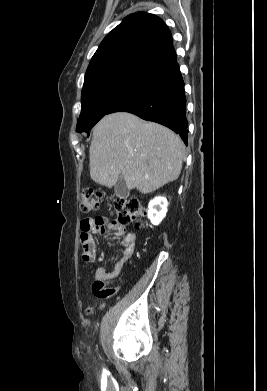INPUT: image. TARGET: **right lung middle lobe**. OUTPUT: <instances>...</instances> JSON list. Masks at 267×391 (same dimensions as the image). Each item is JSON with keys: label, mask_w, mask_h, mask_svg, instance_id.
<instances>
[{"label": "right lung middle lobe", "mask_w": 267, "mask_h": 391, "mask_svg": "<svg viewBox=\"0 0 267 391\" xmlns=\"http://www.w3.org/2000/svg\"><path fill=\"white\" fill-rule=\"evenodd\" d=\"M150 77L131 71L113 72L100 75L84 83L81 94V114L77 132H86L109 111Z\"/></svg>", "instance_id": "obj_1"}]
</instances>
